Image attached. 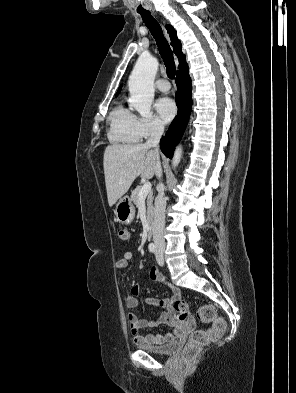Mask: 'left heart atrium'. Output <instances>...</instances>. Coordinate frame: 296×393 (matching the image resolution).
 <instances>
[{"label":"left heart atrium","mask_w":296,"mask_h":393,"mask_svg":"<svg viewBox=\"0 0 296 393\" xmlns=\"http://www.w3.org/2000/svg\"><path fill=\"white\" fill-rule=\"evenodd\" d=\"M155 110L165 123L170 122L177 113L176 104L169 97L159 98L155 103Z\"/></svg>","instance_id":"39dd6f15"}]
</instances>
